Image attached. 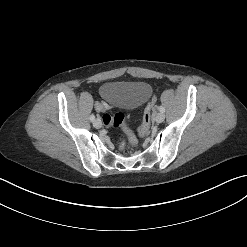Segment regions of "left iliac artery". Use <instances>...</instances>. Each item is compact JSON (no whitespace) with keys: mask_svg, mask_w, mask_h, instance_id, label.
Wrapping results in <instances>:
<instances>
[{"mask_svg":"<svg viewBox=\"0 0 247 247\" xmlns=\"http://www.w3.org/2000/svg\"><path fill=\"white\" fill-rule=\"evenodd\" d=\"M159 111L162 112V113H164L165 112L164 107L163 106H159Z\"/></svg>","mask_w":247,"mask_h":247,"instance_id":"left-iliac-artery-1","label":"left iliac artery"}]
</instances>
